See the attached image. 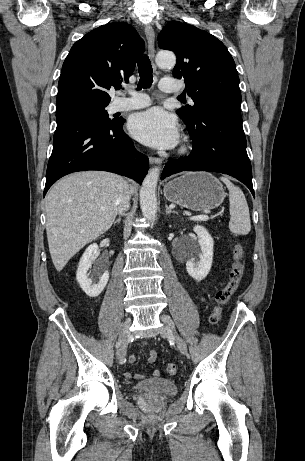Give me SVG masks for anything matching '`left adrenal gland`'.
<instances>
[{"label": "left adrenal gland", "mask_w": 305, "mask_h": 461, "mask_svg": "<svg viewBox=\"0 0 305 461\" xmlns=\"http://www.w3.org/2000/svg\"><path fill=\"white\" fill-rule=\"evenodd\" d=\"M165 207H166V214H167V215H168V214H171V213H173V214H178L176 211H173L172 209H170L169 206H168L167 204H166Z\"/></svg>", "instance_id": "a2214340"}]
</instances>
